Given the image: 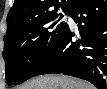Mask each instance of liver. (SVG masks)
<instances>
[{"instance_id": "obj_1", "label": "liver", "mask_w": 107, "mask_h": 89, "mask_svg": "<svg viewBox=\"0 0 107 89\" xmlns=\"http://www.w3.org/2000/svg\"><path fill=\"white\" fill-rule=\"evenodd\" d=\"M17 89H95L93 85L64 75L40 76Z\"/></svg>"}]
</instances>
